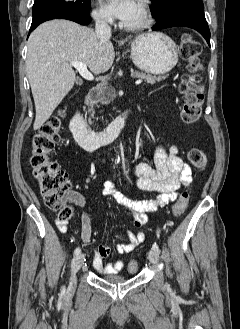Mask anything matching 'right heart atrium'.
<instances>
[{
	"mask_svg": "<svg viewBox=\"0 0 240 329\" xmlns=\"http://www.w3.org/2000/svg\"><path fill=\"white\" fill-rule=\"evenodd\" d=\"M92 16L95 19V21L101 25H109L112 22L110 15L107 13L105 8L99 2L95 3Z\"/></svg>",
	"mask_w": 240,
	"mask_h": 329,
	"instance_id": "d8ad5b80",
	"label": "right heart atrium"
}]
</instances>
